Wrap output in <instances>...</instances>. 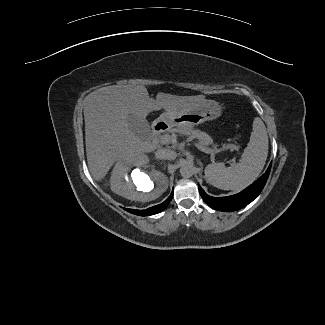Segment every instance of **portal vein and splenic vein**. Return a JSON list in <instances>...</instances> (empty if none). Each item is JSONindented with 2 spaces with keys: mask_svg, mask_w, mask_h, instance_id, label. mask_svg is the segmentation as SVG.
Returning a JSON list of instances; mask_svg holds the SVG:
<instances>
[{
  "mask_svg": "<svg viewBox=\"0 0 325 325\" xmlns=\"http://www.w3.org/2000/svg\"><path fill=\"white\" fill-rule=\"evenodd\" d=\"M172 141V137L170 136V135H168V134H164V135H162L161 137H160V142L161 143H163V144H168V143H170ZM231 150H237L238 149V147L237 146H235V145H231L230 147H229ZM203 151H206V150H204L203 149ZM206 152H209V151H206Z\"/></svg>",
  "mask_w": 325,
  "mask_h": 325,
  "instance_id": "1",
  "label": "portal vein and splenic vein"
}]
</instances>
